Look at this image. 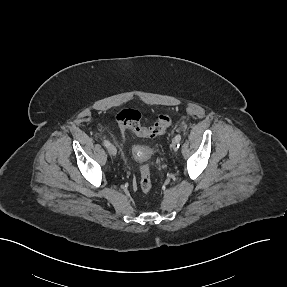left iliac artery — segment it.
I'll use <instances>...</instances> for the list:
<instances>
[{"instance_id":"44dca946","label":"left iliac artery","mask_w":287,"mask_h":287,"mask_svg":"<svg viewBox=\"0 0 287 287\" xmlns=\"http://www.w3.org/2000/svg\"><path fill=\"white\" fill-rule=\"evenodd\" d=\"M175 139H176V141H177V143H179L180 141H181V135H176L175 136ZM178 146V145H177Z\"/></svg>"}]
</instances>
